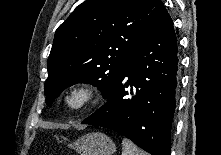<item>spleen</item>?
I'll return each mask as SVG.
<instances>
[{
  "label": "spleen",
  "instance_id": "1",
  "mask_svg": "<svg viewBox=\"0 0 221 155\" xmlns=\"http://www.w3.org/2000/svg\"><path fill=\"white\" fill-rule=\"evenodd\" d=\"M123 150L122 155H145L133 142L124 138L122 141Z\"/></svg>",
  "mask_w": 221,
  "mask_h": 155
}]
</instances>
